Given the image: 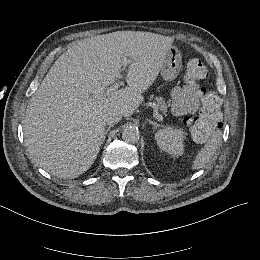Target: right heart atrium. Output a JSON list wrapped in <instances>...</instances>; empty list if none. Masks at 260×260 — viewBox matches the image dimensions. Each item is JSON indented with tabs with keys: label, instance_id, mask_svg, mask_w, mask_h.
<instances>
[{
	"label": "right heart atrium",
	"instance_id": "1",
	"mask_svg": "<svg viewBox=\"0 0 260 260\" xmlns=\"http://www.w3.org/2000/svg\"><path fill=\"white\" fill-rule=\"evenodd\" d=\"M153 60L147 54L137 55L129 62L126 79L130 84L142 87L143 82L151 71Z\"/></svg>",
	"mask_w": 260,
	"mask_h": 260
}]
</instances>
